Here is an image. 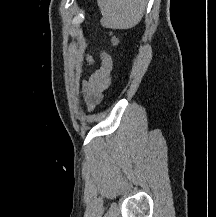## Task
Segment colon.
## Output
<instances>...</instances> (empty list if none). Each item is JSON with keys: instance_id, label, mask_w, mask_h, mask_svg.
Returning a JSON list of instances; mask_svg holds the SVG:
<instances>
[{"instance_id": "5ec220e1", "label": "colon", "mask_w": 216, "mask_h": 217, "mask_svg": "<svg viewBox=\"0 0 216 217\" xmlns=\"http://www.w3.org/2000/svg\"><path fill=\"white\" fill-rule=\"evenodd\" d=\"M112 41H113V43L116 44V45L119 43V39H118V37H116V36H113Z\"/></svg>"}]
</instances>
